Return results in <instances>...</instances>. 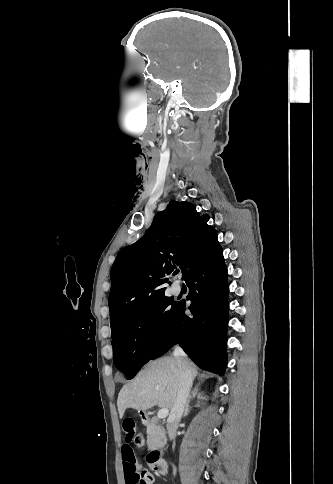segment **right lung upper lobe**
<instances>
[{"label": "right lung upper lobe", "instance_id": "1", "mask_svg": "<svg viewBox=\"0 0 333 484\" xmlns=\"http://www.w3.org/2000/svg\"><path fill=\"white\" fill-rule=\"evenodd\" d=\"M188 202L171 201L156 214L151 227L118 254L111 270V330L139 307L165 295L178 266L187 279L220 247L216 230Z\"/></svg>", "mask_w": 333, "mask_h": 484}]
</instances>
